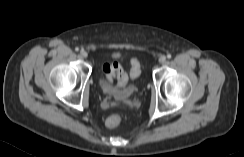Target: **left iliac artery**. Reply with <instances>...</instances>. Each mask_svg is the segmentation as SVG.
Masks as SVG:
<instances>
[{"mask_svg": "<svg viewBox=\"0 0 244 157\" xmlns=\"http://www.w3.org/2000/svg\"><path fill=\"white\" fill-rule=\"evenodd\" d=\"M167 58L170 59V58H171V54H168V55H167Z\"/></svg>", "mask_w": 244, "mask_h": 157, "instance_id": "1", "label": "left iliac artery"}]
</instances>
